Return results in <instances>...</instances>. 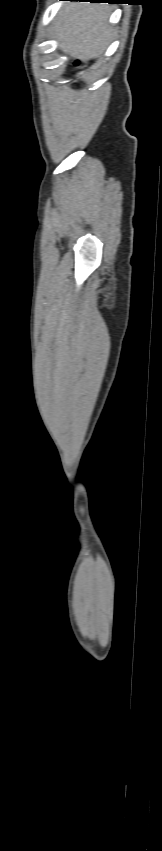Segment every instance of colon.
<instances>
[{"label": "colon", "instance_id": "obj_1", "mask_svg": "<svg viewBox=\"0 0 162 851\" xmlns=\"http://www.w3.org/2000/svg\"><path fill=\"white\" fill-rule=\"evenodd\" d=\"M84 66H85V63L83 61L78 60V61L75 62V67H77V68H83Z\"/></svg>", "mask_w": 162, "mask_h": 851}]
</instances>
